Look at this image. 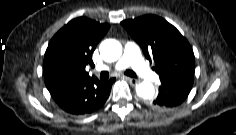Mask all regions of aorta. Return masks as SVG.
<instances>
[{
  "instance_id": "aorta-1",
  "label": "aorta",
  "mask_w": 236,
  "mask_h": 135,
  "mask_svg": "<svg viewBox=\"0 0 236 135\" xmlns=\"http://www.w3.org/2000/svg\"><path fill=\"white\" fill-rule=\"evenodd\" d=\"M102 58L107 62H114L122 55V45L114 39L104 40L99 47ZM136 93L143 99H152L155 89L150 81H142L136 87Z\"/></svg>"
}]
</instances>
